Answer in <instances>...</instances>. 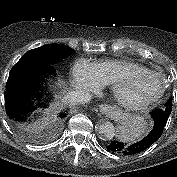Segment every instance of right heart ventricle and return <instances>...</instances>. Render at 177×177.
<instances>
[{"label": "right heart ventricle", "instance_id": "e07e8e85", "mask_svg": "<svg viewBox=\"0 0 177 177\" xmlns=\"http://www.w3.org/2000/svg\"><path fill=\"white\" fill-rule=\"evenodd\" d=\"M105 85L112 86L115 81L126 73L148 71L138 63L126 60H102L93 64Z\"/></svg>", "mask_w": 177, "mask_h": 177}]
</instances>
